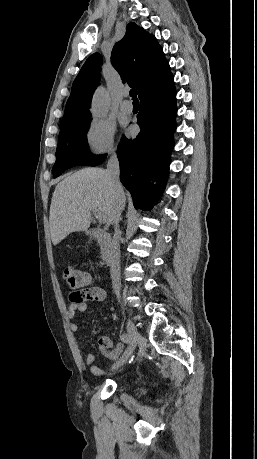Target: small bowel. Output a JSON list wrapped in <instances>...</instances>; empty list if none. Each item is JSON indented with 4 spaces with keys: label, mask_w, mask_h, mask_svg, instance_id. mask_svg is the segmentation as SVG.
<instances>
[{
    "label": "small bowel",
    "mask_w": 257,
    "mask_h": 459,
    "mask_svg": "<svg viewBox=\"0 0 257 459\" xmlns=\"http://www.w3.org/2000/svg\"><path fill=\"white\" fill-rule=\"evenodd\" d=\"M77 291H73L69 295L70 304L67 309V316L70 320V330L72 332H78L80 326L74 321L77 314L84 313L87 310L89 301L104 302L107 298L106 291L99 286L88 287L89 297L82 301H76L75 294ZM98 347L103 354L109 360H116L122 352L124 346L122 343L113 344L112 339L103 335L98 339ZM86 364L90 372L94 375H102L103 371L97 366L95 357L92 353H87L85 356Z\"/></svg>",
    "instance_id": "1"
}]
</instances>
